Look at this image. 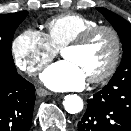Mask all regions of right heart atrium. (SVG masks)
I'll return each instance as SVG.
<instances>
[{"label": "right heart atrium", "mask_w": 131, "mask_h": 131, "mask_svg": "<svg viewBox=\"0 0 131 131\" xmlns=\"http://www.w3.org/2000/svg\"><path fill=\"white\" fill-rule=\"evenodd\" d=\"M11 49L16 65L28 74L39 71L58 53L46 35L35 29H27L15 37Z\"/></svg>", "instance_id": "right-heart-atrium-1"}]
</instances>
